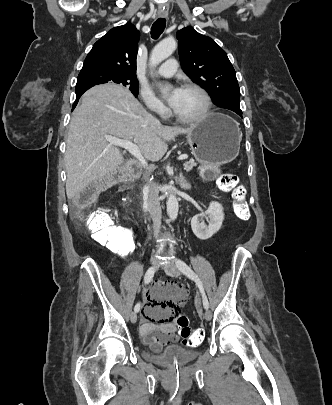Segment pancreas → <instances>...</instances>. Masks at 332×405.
<instances>
[{
	"instance_id": "pancreas-1",
	"label": "pancreas",
	"mask_w": 332,
	"mask_h": 405,
	"mask_svg": "<svg viewBox=\"0 0 332 405\" xmlns=\"http://www.w3.org/2000/svg\"><path fill=\"white\" fill-rule=\"evenodd\" d=\"M185 164H186V168H188V169L193 168L194 166H196V163L194 161H188Z\"/></svg>"
}]
</instances>
